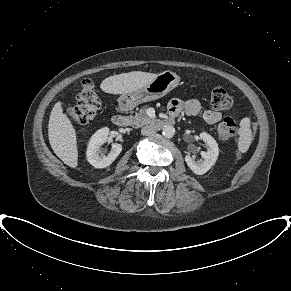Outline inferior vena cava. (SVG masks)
<instances>
[{
	"label": "inferior vena cava",
	"mask_w": 291,
	"mask_h": 291,
	"mask_svg": "<svg viewBox=\"0 0 291 291\" xmlns=\"http://www.w3.org/2000/svg\"><path fill=\"white\" fill-rule=\"evenodd\" d=\"M156 133V129L152 125H146L141 129V134L144 136H152Z\"/></svg>",
	"instance_id": "602c4592"
}]
</instances>
